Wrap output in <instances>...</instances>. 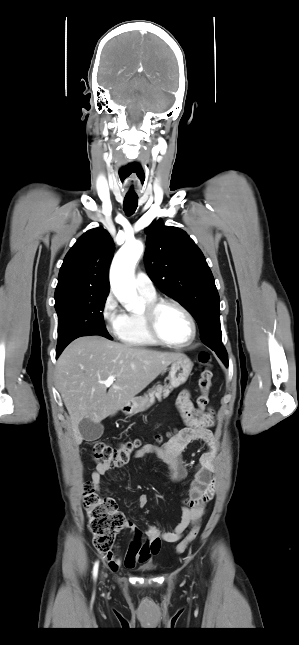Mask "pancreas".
Masks as SVG:
<instances>
[{
    "label": "pancreas",
    "mask_w": 299,
    "mask_h": 645,
    "mask_svg": "<svg viewBox=\"0 0 299 645\" xmlns=\"http://www.w3.org/2000/svg\"><path fill=\"white\" fill-rule=\"evenodd\" d=\"M170 393L168 388H163L162 386H157L154 391L150 393V403H153L155 397L160 401L161 397H167Z\"/></svg>",
    "instance_id": "1"
}]
</instances>
